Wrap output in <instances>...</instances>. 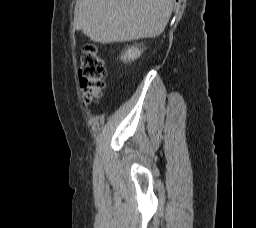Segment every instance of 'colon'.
Segmentation results:
<instances>
[{
	"instance_id": "5ec220e1",
	"label": "colon",
	"mask_w": 256,
	"mask_h": 228,
	"mask_svg": "<svg viewBox=\"0 0 256 228\" xmlns=\"http://www.w3.org/2000/svg\"><path fill=\"white\" fill-rule=\"evenodd\" d=\"M105 75L104 62L98 48L92 43H87L83 47L79 70V84L87 104L95 103L101 96Z\"/></svg>"
}]
</instances>
